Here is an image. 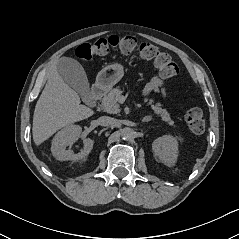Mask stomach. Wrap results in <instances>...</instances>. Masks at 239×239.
Wrapping results in <instances>:
<instances>
[{
    "instance_id": "1",
    "label": "stomach",
    "mask_w": 239,
    "mask_h": 239,
    "mask_svg": "<svg viewBox=\"0 0 239 239\" xmlns=\"http://www.w3.org/2000/svg\"><path fill=\"white\" fill-rule=\"evenodd\" d=\"M122 77V66L118 64L108 65L99 72L96 78V84L102 89L109 90L118 83Z\"/></svg>"
}]
</instances>
